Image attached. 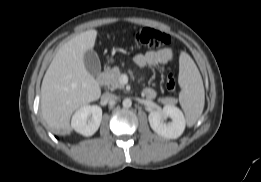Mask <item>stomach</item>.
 <instances>
[{
    "mask_svg": "<svg viewBox=\"0 0 261 182\" xmlns=\"http://www.w3.org/2000/svg\"><path fill=\"white\" fill-rule=\"evenodd\" d=\"M113 61H114V60H113L112 58L109 60V62H111V63H112Z\"/></svg>",
    "mask_w": 261,
    "mask_h": 182,
    "instance_id": "0dacf381",
    "label": "stomach"
}]
</instances>
